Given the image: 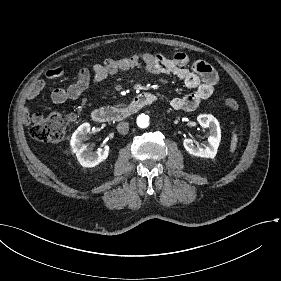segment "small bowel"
Segmentation results:
<instances>
[{"label": "small bowel", "instance_id": "obj_1", "mask_svg": "<svg viewBox=\"0 0 281 281\" xmlns=\"http://www.w3.org/2000/svg\"><path fill=\"white\" fill-rule=\"evenodd\" d=\"M143 69L152 74H172L182 80L185 85L193 91L183 96H176L170 100V106L176 111H194L202 101L208 99L214 91L219 77L216 70L203 60L190 62L189 56L184 52H177L171 57L162 54L139 52L124 55L120 58H106L101 63H96L91 70L82 68L78 73L77 81L66 87H59L51 92V100L55 103H63L81 97L93 84L101 83L108 75L121 71ZM63 75L60 67L50 69L46 72L49 79L59 78ZM45 87L42 80L35 82L28 90L26 98L28 101L36 98ZM151 94L150 102L157 99ZM41 113L31 114L28 107L23 113V122L27 125L42 121Z\"/></svg>", "mask_w": 281, "mask_h": 281}]
</instances>
